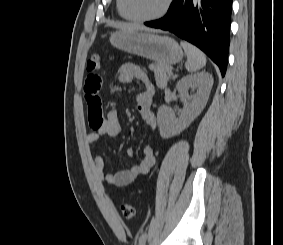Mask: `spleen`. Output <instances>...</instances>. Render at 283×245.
I'll list each match as a JSON object with an SVG mask.
<instances>
[{
  "label": "spleen",
  "mask_w": 283,
  "mask_h": 245,
  "mask_svg": "<svg viewBox=\"0 0 283 245\" xmlns=\"http://www.w3.org/2000/svg\"><path fill=\"white\" fill-rule=\"evenodd\" d=\"M181 46L187 55L185 68L188 72H196L206 65V56L200 49L187 41H181Z\"/></svg>",
  "instance_id": "3e777b00"
}]
</instances>
